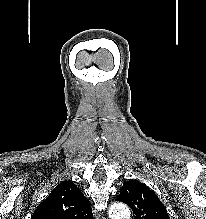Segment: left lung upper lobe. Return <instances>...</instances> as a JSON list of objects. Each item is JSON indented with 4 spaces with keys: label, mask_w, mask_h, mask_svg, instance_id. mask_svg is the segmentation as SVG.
<instances>
[{
    "label": "left lung upper lobe",
    "mask_w": 206,
    "mask_h": 219,
    "mask_svg": "<svg viewBox=\"0 0 206 219\" xmlns=\"http://www.w3.org/2000/svg\"><path fill=\"white\" fill-rule=\"evenodd\" d=\"M115 200L128 204L133 210L134 219H169L157 195L137 180L127 181Z\"/></svg>",
    "instance_id": "1"
}]
</instances>
